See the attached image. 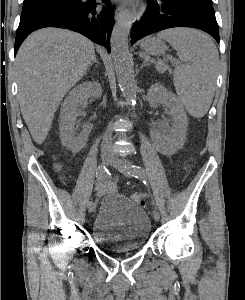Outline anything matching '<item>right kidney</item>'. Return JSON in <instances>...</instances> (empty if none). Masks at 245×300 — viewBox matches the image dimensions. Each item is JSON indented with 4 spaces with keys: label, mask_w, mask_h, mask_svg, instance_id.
<instances>
[{
    "label": "right kidney",
    "mask_w": 245,
    "mask_h": 300,
    "mask_svg": "<svg viewBox=\"0 0 245 300\" xmlns=\"http://www.w3.org/2000/svg\"><path fill=\"white\" fill-rule=\"evenodd\" d=\"M101 95L102 87L98 82H85L77 85L64 100L60 112V138L70 151H80L92 129L91 124H84L81 128L75 126L81 107L90 96L99 98Z\"/></svg>",
    "instance_id": "obj_1"
}]
</instances>
